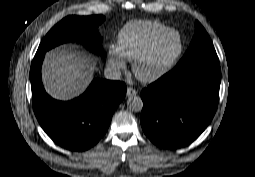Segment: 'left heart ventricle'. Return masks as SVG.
Instances as JSON below:
<instances>
[{
	"label": "left heart ventricle",
	"instance_id": "b2bd125f",
	"mask_svg": "<svg viewBox=\"0 0 255 177\" xmlns=\"http://www.w3.org/2000/svg\"><path fill=\"white\" fill-rule=\"evenodd\" d=\"M177 46V35L174 33L166 35L158 42L148 57L140 63L138 67L139 74L142 76L154 74L177 49Z\"/></svg>",
	"mask_w": 255,
	"mask_h": 177
}]
</instances>
